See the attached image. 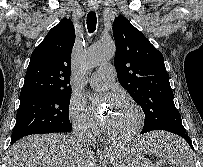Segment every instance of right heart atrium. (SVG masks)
<instances>
[{
  "label": "right heart atrium",
  "instance_id": "right-heart-atrium-1",
  "mask_svg": "<svg viewBox=\"0 0 203 167\" xmlns=\"http://www.w3.org/2000/svg\"><path fill=\"white\" fill-rule=\"evenodd\" d=\"M69 116L73 127L76 130L90 132L96 129L94 117L88 112L84 103L72 98L69 104Z\"/></svg>",
  "mask_w": 203,
  "mask_h": 167
}]
</instances>
